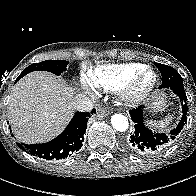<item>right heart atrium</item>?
<instances>
[{
	"label": "right heart atrium",
	"instance_id": "1",
	"mask_svg": "<svg viewBox=\"0 0 196 196\" xmlns=\"http://www.w3.org/2000/svg\"><path fill=\"white\" fill-rule=\"evenodd\" d=\"M82 82H83V85H84L85 87H88V86H89V84L87 83V81L83 80Z\"/></svg>",
	"mask_w": 196,
	"mask_h": 196
}]
</instances>
